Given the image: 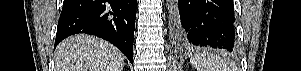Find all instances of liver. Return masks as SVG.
I'll return each mask as SVG.
<instances>
[{"label": "liver", "instance_id": "1", "mask_svg": "<svg viewBox=\"0 0 301 71\" xmlns=\"http://www.w3.org/2000/svg\"><path fill=\"white\" fill-rule=\"evenodd\" d=\"M124 55L112 44L79 34L64 39L55 50V71H123Z\"/></svg>", "mask_w": 301, "mask_h": 71}]
</instances>
